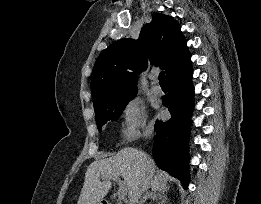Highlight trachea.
Segmentation results:
<instances>
[{
    "instance_id": "3493384b",
    "label": "trachea",
    "mask_w": 261,
    "mask_h": 204,
    "mask_svg": "<svg viewBox=\"0 0 261 204\" xmlns=\"http://www.w3.org/2000/svg\"><path fill=\"white\" fill-rule=\"evenodd\" d=\"M159 83L160 84H167L166 76L164 71H161L159 74Z\"/></svg>"
}]
</instances>
